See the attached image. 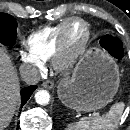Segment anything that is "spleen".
Here are the masks:
<instances>
[{"instance_id":"obj_1","label":"spleen","mask_w":130,"mask_h":130,"mask_svg":"<svg viewBox=\"0 0 130 130\" xmlns=\"http://www.w3.org/2000/svg\"><path fill=\"white\" fill-rule=\"evenodd\" d=\"M124 107L123 102L116 103L107 114L93 119L83 117L75 124H69L65 130H114Z\"/></svg>"}]
</instances>
